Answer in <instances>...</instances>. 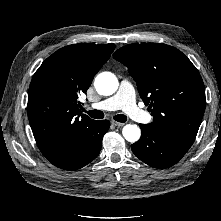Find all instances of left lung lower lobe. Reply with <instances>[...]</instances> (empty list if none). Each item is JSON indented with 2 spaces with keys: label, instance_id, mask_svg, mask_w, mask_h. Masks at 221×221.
<instances>
[{
  "label": "left lung lower lobe",
  "instance_id": "1",
  "mask_svg": "<svg viewBox=\"0 0 221 221\" xmlns=\"http://www.w3.org/2000/svg\"><path fill=\"white\" fill-rule=\"evenodd\" d=\"M140 128L141 138L132 144L131 149L140 160L160 169L176 164L189 150L195 138L152 123L140 124Z\"/></svg>",
  "mask_w": 221,
  "mask_h": 221
}]
</instances>
